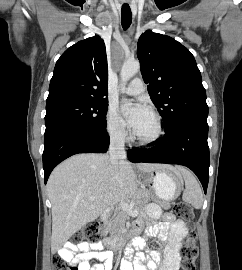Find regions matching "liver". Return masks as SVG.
<instances>
[{
    "label": "liver",
    "mask_w": 242,
    "mask_h": 270,
    "mask_svg": "<svg viewBox=\"0 0 242 270\" xmlns=\"http://www.w3.org/2000/svg\"><path fill=\"white\" fill-rule=\"evenodd\" d=\"M166 167L173 169L168 165L137 164L143 173ZM137 183L129 162L121 160L112 165L107 154H77L58 165L47 183L52 204V251L97 219L109 205L138 195ZM91 196L96 199L89 200Z\"/></svg>",
    "instance_id": "liver-1"
}]
</instances>
